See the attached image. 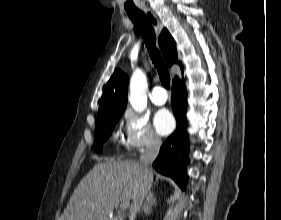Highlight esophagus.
Instances as JSON below:
<instances>
[{"label": "esophagus", "mask_w": 281, "mask_h": 220, "mask_svg": "<svg viewBox=\"0 0 281 220\" xmlns=\"http://www.w3.org/2000/svg\"><path fill=\"white\" fill-rule=\"evenodd\" d=\"M143 11L145 12L146 17L148 18L154 29L159 33L161 31L162 25L156 14L148 7H143Z\"/></svg>", "instance_id": "esophagus-1"}]
</instances>
